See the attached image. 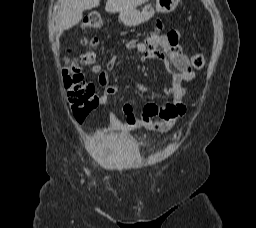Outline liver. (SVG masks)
<instances>
[{
    "instance_id": "liver-1",
    "label": "liver",
    "mask_w": 256,
    "mask_h": 228,
    "mask_svg": "<svg viewBox=\"0 0 256 228\" xmlns=\"http://www.w3.org/2000/svg\"><path fill=\"white\" fill-rule=\"evenodd\" d=\"M148 0H107L105 10L110 13L137 7ZM100 0H61V12L59 16L57 38L77 25L82 19L83 11L99 6Z\"/></svg>"
}]
</instances>
